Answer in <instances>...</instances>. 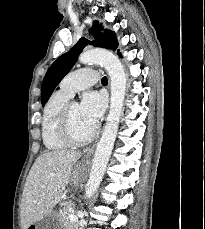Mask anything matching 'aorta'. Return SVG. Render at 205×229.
<instances>
[{
  "label": "aorta",
  "instance_id": "762f6f07",
  "mask_svg": "<svg viewBox=\"0 0 205 229\" xmlns=\"http://www.w3.org/2000/svg\"><path fill=\"white\" fill-rule=\"evenodd\" d=\"M79 61L82 64H99L103 66L110 77L111 103L107 122L102 136L97 144L89 180L86 185L85 198L89 199L98 189L105 173L116 139L120 116L126 91V75L120 60L105 49L84 51Z\"/></svg>",
  "mask_w": 205,
  "mask_h": 229
}]
</instances>
